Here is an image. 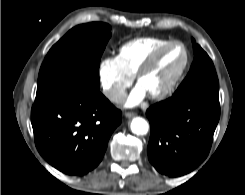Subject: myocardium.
Returning <instances> with one entry per match:
<instances>
[{
	"label": "myocardium",
	"mask_w": 245,
	"mask_h": 195,
	"mask_svg": "<svg viewBox=\"0 0 245 195\" xmlns=\"http://www.w3.org/2000/svg\"><path fill=\"white\" fill-rule=\"evenodd\" d=\"M179 46L182 49L183 52V60L181 65L179 66L178 70L175 72V74L172 76V78L169 80V82L159 91L155 93H149L148 97L153 100H160L168 96L174 88L177 86L178 82L180 81L181 77L183 76L187 65H188V51L185 47V45L179 41H169L168 43L158 47L155 49L138 67L137 71L134 74L135 80L137 84H139L142 76L147 73L157 62V60L160 58V56L166 52L168 49Z\"/></svg>",
	"instance_id": "myocardium-1"
}]
</instances>
